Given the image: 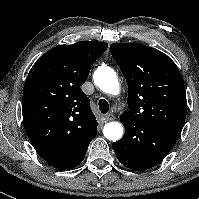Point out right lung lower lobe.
Masks as SVG:
<instances>
[{"label": "right lung lower lobe", "mask_w": 199, "mask_h": 199, "mask_svg": "<svg viewBox=\"0 0 199 199\" xmlns=\"http://www.w3.org/2000/svg\"><path fill=\"white\" fill-rule=\"evenodd\" d=\"M88 146H89V145H88ZM86 151H87V148H85V149L82 151V153L77 157V159H76L74 162L70 163L69 165H65V166H62L61 164L55 165V164H54V161H52V160H49V161H46V162H47L48 164H50L51 166H53V167H55V168H58V169H60V170L72 169V168L76 167L77 165H79V164L82 162V160H83L84 157H85Z\"/></svg>", "instance_id": "obj_1"}]
</instances>
